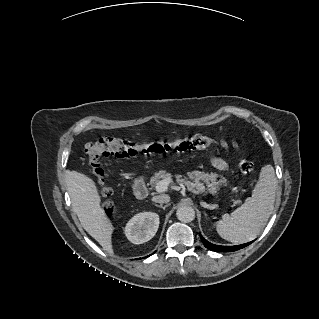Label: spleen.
<instances>
[{"label": "spleen", "instance_id": "3e777b00", "mask_svg": "<svg viewBox=\"0 0 319 319\" xmlns=\"http://www.w3.org/2000/svg\"><path fill=\"white\" fill-rule=\"evenodd\" d=\"M277 179L272 165L262 167L252 196L224 220L216 222L218 234L232 243L255 239L264 229L274 207Z\"/></svg>", "mask_w": 319, "mask_h": 319}]
</instances>
